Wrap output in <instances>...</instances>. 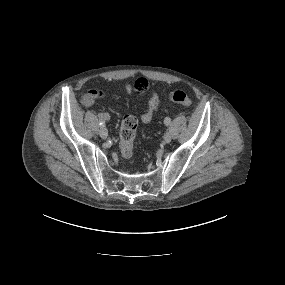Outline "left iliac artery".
<instances>
[{"label":"left iliac artery","mask_w":285,"mask_h":285,"mask_svg":"<svg viewBox=\"0 0 285 285\" xmlns=\"http://www.w3.org/2000/svg\"><path fill=\"white\" fill-rule=\"evenodd\" d=\"M170 122H171L170 118L166 117L164 120L165 125L168 126Z\"/></svg>","instance_id":"1"}]
</instances>
